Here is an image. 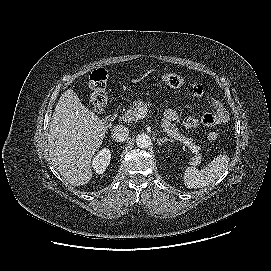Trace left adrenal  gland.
<instances>
[{"label": "left adrenal gland", "instance_id": "obj_1", "mask_svg": "<svg viewBox=\"0 0 271 271\" xmlns=\"http://www.w3.org/2000/svg\"><path fill=\"white\" fill-rule=\"evenodd\" d=\"M167 141L172 142V141H171L170 139H168L167 137H165V138H157V143H158L159 146H161L162 144H164V143L167 142Z\"/></svg>", "mask_w": 271, "mask_h": 271}]
</instances>
